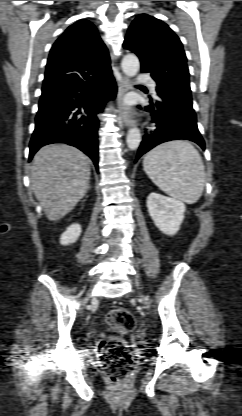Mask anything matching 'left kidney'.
Returning a JSON list of instances; mask_svg holds the SVG:
<instances>
[{"label": "left kidney", "mask_w": 242, "mask_h": 416, "mask_svg": "<svg viewBox=\"0 0 242 416\" xmlns=\"http://www.w3.org/2000/svg\"><path fill=\"white\" fill-rule=\"evenodd\" d=\"M147 208L154 224L162 233L173 236L179 231L186 210L184 203L151 193L147 198Z\"/></svg>", "instance_id": "left-kidney-1"}]
</instances>
